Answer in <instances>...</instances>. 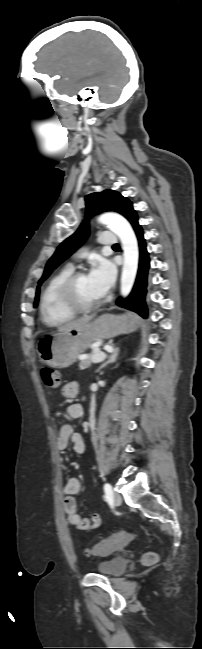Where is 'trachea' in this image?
Listing matches in <instances>:
<instances>
[{
  "mask_svg": "<svg viewBox=\"0 0 202 649\" xmlns=\"http://www.w3.org/2000/svg\"><path fill=\"white\" fill-rule=\"evenodd\" d=\"M113 247H119V245H118V244H115Z\"/></svg>",
  "mask_w": 202,
  "mask_h": 649,
  "instance_id": "3493384b",
  "label": "trachea"
}]
</instances>
